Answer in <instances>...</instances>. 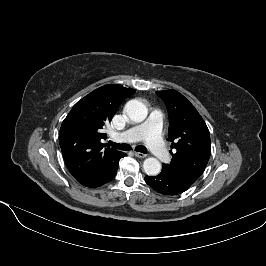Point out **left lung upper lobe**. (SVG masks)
<instances>
[{"label":"left lung upper lobe","mask_w":266,"mask_h":266,"mask_svg":"<svg viewBox=\"0 0 266 266\" xmlns=\"http://www.w3.org/2000/svg\"><path fill=\"white\" fill-rule=\"evenodd\" d=\"M169 114V136L172 161L163 164L169 176L190 187L204 172L211 154V141L206 123L195 107L175 90L157 91Z\"/></svg>","instance_id":"left-lung-upper-lobe-1"}]
</instances>
